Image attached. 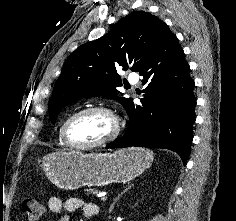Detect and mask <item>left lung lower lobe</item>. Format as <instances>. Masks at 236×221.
<instances>
[{
    "mask_svg": "<svg viewBox=\"0 0 236 221\" xmlns=\"http://www.w3.org/2000/svg\"><path fill=\"white\" fill-rule=\"evenodd\" d=\"M190 67L176 36L168 30L139 71L144 98L126 109V133L110 148L142 146L175 151L186 164L193 139L196 99Z\"/></svg>",
    "mask_w": 236,
    "mask_h": 221,
    "instance_id": "1",
    "label": "left lung lower lobe"
}]
</instances>
